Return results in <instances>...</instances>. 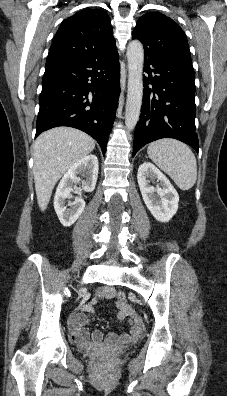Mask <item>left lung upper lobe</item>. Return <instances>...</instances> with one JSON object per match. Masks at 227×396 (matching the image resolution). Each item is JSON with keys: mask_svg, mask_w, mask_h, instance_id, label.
Wrapping results in <instances>:
<instances>
[{"mask_svg": "<svg viewBox=\"0 0 227 396\" xmlns=\"http://www.w3.org/2000/svg\"><path fill=\"white\" fill-rule=\"evenodd\" d=\"M141 41L144 53L164 55L191 63L187 38L181 27L159 12L141 16L132 33Z\"/></svg>", "mask_w": 227, "mask_h": 396, "instance_id": "1", "label": "left lung upper lobe"}]
</instances>
